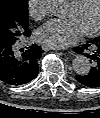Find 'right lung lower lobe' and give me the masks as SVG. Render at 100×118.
Returning a JSON list of instances; mask_svg holds the SVG:
<instances>
[{"label":"right lung lower lobe","mask_w":100,"mask_h":118,"mask_svg":"<svg viewBox=\"0 0 100 118\" xmlns=\"http://www.w3.org/2000/svg\"><path fill=\"white\" fill-rule=\"evenodd\" d=\"M29 36L19 42L4 40L0 43V79L3 82L23 85L37 76L38 60L43 52L41 47L33 44L18 50L21 42Z\"/></svg>","instance_id":"98d812e1"}]
</instances>
